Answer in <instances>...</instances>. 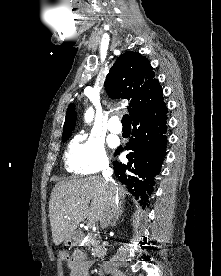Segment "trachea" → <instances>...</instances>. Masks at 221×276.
I'll use <instances>...</instances> for the list:
<instances>
[{"label": "trachea", "instance_id": "trachea-1", "mask_svg": "<svg viewBox=\"0 0 221 276\" xmlns=\"http://www.w3.org/2000/svg\"><path fill=\"white\" fill-rule=\"evenodd\" d=\"M122 124L123 125H130L131 122H130V117L128 114H124L123 117H122Z\"/></svg>", "mask_w": 221, "mask_h": 276}]
</instances>
